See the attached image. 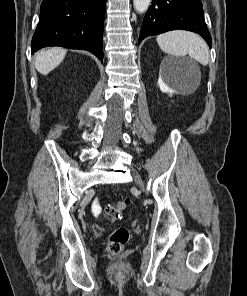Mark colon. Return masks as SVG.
Listing matches in <instances>:
<instances>
[{
    "instance_id": "colon-1",
    "label": "colon",
    "mask_w": 247,
    "mask_h": 296,
    "mask_svg": "<svg viewBox=\"0 0 247 296\" xmlns=\"http://www.w3.org/2000/svg\"><path fill=\"white\" fill-rule=\"evenodd\" d=\"M129 199L110 203L103 209V216L109 221L118 219L121 210L129 205ZM129 241V231L125 227H118L112 231L108 242V251L111 254H119Z\"/></svg>"
}]
</instances>
